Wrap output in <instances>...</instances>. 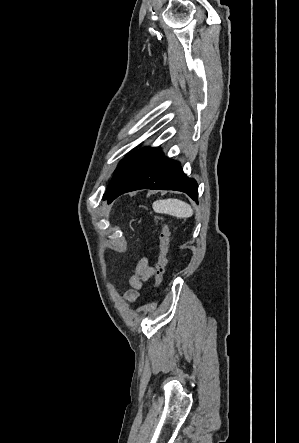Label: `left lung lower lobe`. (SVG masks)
Here are the masks:
<instances>
[{"instance_id": "0a47b994", "label": "left lung lower lobe", "mask_w": 299, "mask_h": 443, "mask_svg": "<svg viewBox=\"0 0 299 443\" xmlns=\"http://www.w3.org/2000/svg\"><path fill=\"white\" fill-rule=\"evenodd\" d=\"M138 189L177 190L186 193L193 200L198 199V187L194 179L188 178L180 163L164 156L160 149H153L136 163L104 195L109 202L119 195Z\"/></svg>"}]
</instances>
